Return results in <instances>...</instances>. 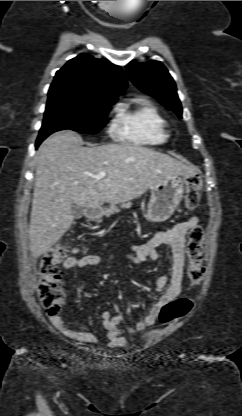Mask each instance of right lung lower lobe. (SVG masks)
<instances>
[{"mask_svg":"<svg viewBox=\"0 0 242 416\" xmlns=\"http://www.w3.org/2000/svg\"><path fill=\"white\" fill-rule=\"evenodd\" d=\"M44 139H37L36 141V148H38V146L40 145V143L43 141Z\"/></svg>","mask_w":242,"mask_h":416,"instance_id":"obj_1","label":"right lung lower lobe"}]
</instances>
